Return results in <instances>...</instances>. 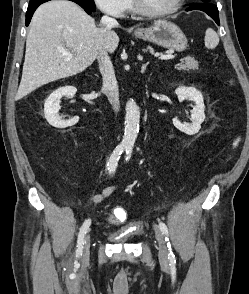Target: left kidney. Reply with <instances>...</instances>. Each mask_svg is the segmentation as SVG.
<instances>
[{
    "label": "left kidney",
    "instance_id": "1",
    "mask_svg": "<svg viewBox=\"0 0 249 294\" xmlns=\"http://www.w3.org/2000/svg\"><path fill=\"white\" fill-rule=\"evenodd\" d=\"M175 94L177 95L179 101H183L185 99H189L195 102V106L191 110V118L192 123L185 124L181 123L177 118H173L174 126L188 135H194L198 133L201 128V124L205 119V106L203 101L202 94L194 87H185L180 86L175 90Z\"/></svg>",
    "mask_w": 249,
    "mask_h": 294
}]
</instances>
